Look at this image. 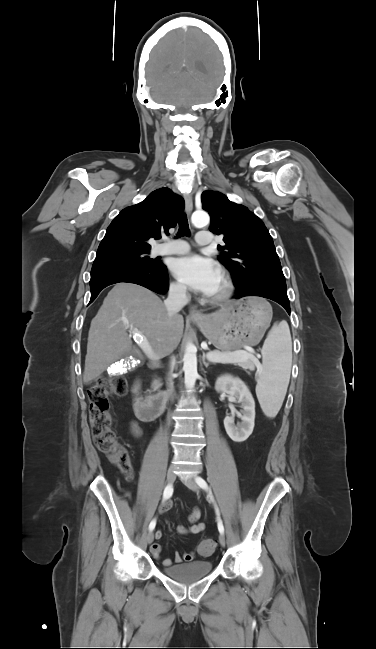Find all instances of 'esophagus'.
Masks as SVG:
<instances>
[{
	"label": "esophagus",
	"instance_id": "34e87169",
	"mask_svg": "<svg viewBox=\"0 0 376 649\" xmlns=\"http://www.w3.org/2000/svg\"><path fill=\"white\" fill-rule=\"evenodd\" d=\"M185 209H186V213L190 215L193 210V200L191 194L185 195ZM189 316L193 319H200L202 317V313L198 311L196 308L191 307L189 310Z\"/></svg>",
	"mask_w": 376,
	"mask_h": 649
}]
</instances>
